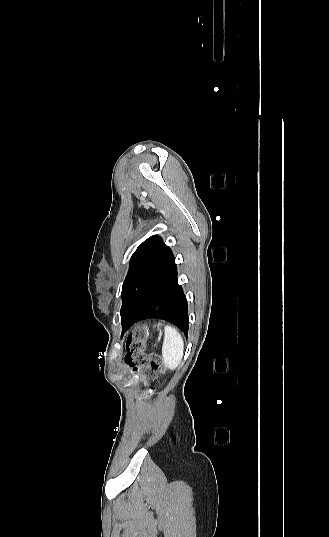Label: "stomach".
<instances>
[{"label":"stomach","mask_w":329,"mask_h":537,"mask_svg":"<svg viewBox=\"0 0 329 537\" xmlns=\"http://www.w3.org/2000/svg\"><path fill=\"white\" fill-rule=\"evenodd\" d=\"M157 329H158L159 331H161V326H160V325H158V326H157Z\"/></svg>","instance_id":"1"}]
</instances>
